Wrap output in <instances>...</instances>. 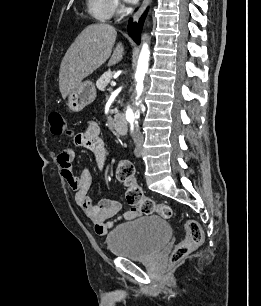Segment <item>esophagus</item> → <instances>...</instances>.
I'll list each match as a JSON object with an SVG mask.
<instances>
[{
  "label": "esophagus",
  "mask_w": 261,
  "mask_h": 306,
  "mask_svg": "<svg viewBox=\"0 0 261 306\" xmlns=\"http://www.w3.org/2000/svg\"><path fill=\"white\" fill-rule=\"evenodd\" d=\"M150 1L151 0H143L140 8L137 10V12L133 16V21L134 22H138L139 18L144 13V11L146 10L147 6L149 5Z\"/></svg>",
  "instance_id": "1"
}]
</instances>
